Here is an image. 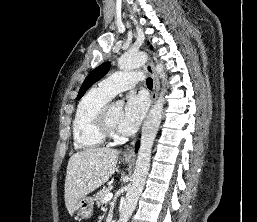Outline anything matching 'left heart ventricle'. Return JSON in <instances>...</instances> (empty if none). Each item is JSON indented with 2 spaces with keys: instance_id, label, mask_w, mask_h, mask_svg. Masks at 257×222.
Returning <instances> with one entry per match:
<instances>
[{
  "instance_id": "1",
  "label": "left heart ventricle",
  "mask_w": 257,
  "mask_h": 222,
  "mask_svg": "<svg viewBox=\"0 0 257 222\" xmlns=\"http://www.w3.org/2000/svg\"><path fill=\"white\" fill-rule=\"evenodd\" d=\"M121 115H122V109L117 105H113L110 109L109 119H110L111 125L116 129L118 127V123L120 121Z\"/></svg>"
}]
</instances>
